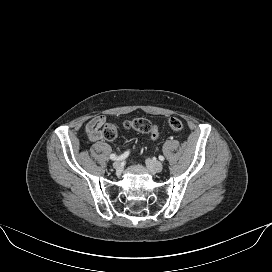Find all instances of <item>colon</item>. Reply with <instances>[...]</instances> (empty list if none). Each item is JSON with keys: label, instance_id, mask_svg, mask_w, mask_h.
Masks as SVG:
<instances>
[{"label": "colon", "instance_id": "5ec220e1", "mask_svg": "<svg viewBox=\"0 0 272 272\" xmlns=\"http://www.w3.org/2000/svg\"><path fill=\"white\" fill-rule=\"evenodd\" d=\"M126 129H132L137 132L148 134L152 139L157 140L160 137L157 125L153 124L145 118H135L124 123ZM169 127L173 131H181L184 128L183 122L176 117L169 119ZM104 139L113 141L118 135V129L114 124H107L103 129Z\"/></svg>", "mask_w": 272, "mask_h": 272}]
</instances>
